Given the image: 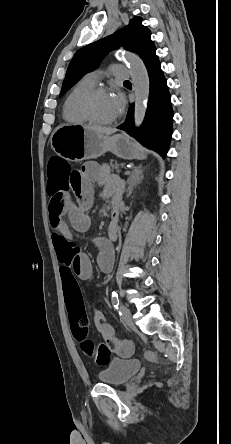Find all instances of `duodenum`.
Listing matches in <instances>:
<instances>
[{
    "instance_id": "1",
    "label": "duodenum",
    "mask_w": 231,
    "mask_h": 444,
    "mask_svg": "<svg viewBox=\"0 0 231 444\" xmlns=\"http://www.w3.org/2000/svg\"><path fill=\"white\" fill-rule=\"evenodd\" d=\"M119 217H120V215L118 213L117 207L114 206L113 211L111 213V219H110V228L112 230L117 226Z\"/></svg>"
}]
</instances>
